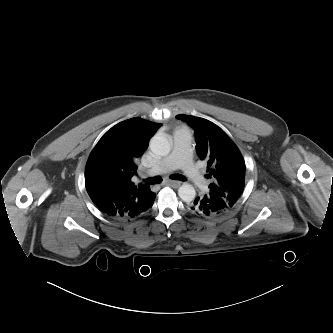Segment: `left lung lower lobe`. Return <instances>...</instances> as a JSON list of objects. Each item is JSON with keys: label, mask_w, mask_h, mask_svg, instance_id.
Masks as SVG:
<instances>
[{"label": "left lung lower lobe", "mask_w": 333, "mask_h": 333, "mask_svg": "<svg viewBox=\"0 0 333 333\" xmlns=\"http://www.w3.org/2000/svg\"><path fill=\"white\" fill-rule=\"evenodd\" d=\"M190 209L203 216L216 217L229 211V206L221 197L208 193L192 201Z\"/></svg>", "instance_id": "obj_1"}]
</instances>
